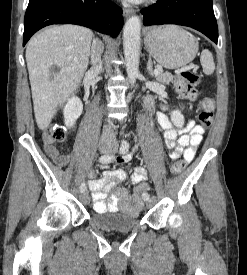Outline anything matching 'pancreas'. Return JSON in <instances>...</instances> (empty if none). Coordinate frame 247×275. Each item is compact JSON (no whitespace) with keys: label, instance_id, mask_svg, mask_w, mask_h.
Wrapping results in <instances>:
<instances>
[{"label":"pancreas","instance_id":"cf45deb5","mask_svg":"<svg viewBox=\"0 0 247 275\" xmlns=\"http://www.w3.org/2000/svg\"><path fill=\"white\" fill-rule=\"evenodd\" d=\"M156 79L160 83L169 84L170 82H173V75L169 72H165L156 76Z\"/></svg>","mask_w":247,"mask_h":275}]
</instances>
